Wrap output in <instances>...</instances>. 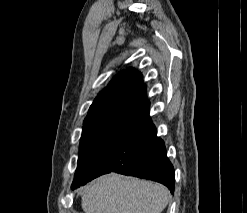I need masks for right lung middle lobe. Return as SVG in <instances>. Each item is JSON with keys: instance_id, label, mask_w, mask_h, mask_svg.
<instances>
[{"instance_id": "right-lung-middle-lobe-1", "label": "right lung middle lobe", "mask_w": 247, "mask_h": 213, "mask_svg": "<svg viewBox=\"0 0 247 213\" xmlns=\"http://www.w3.org/2000/svg\"><path fill=\"white\" fill-rule=\"evenodd\" d=\"M131 109L129 107L113 109L84 123L72 189L96 177L99 172L98 161L115 143Z\"/></svg>"}]
</instances>
